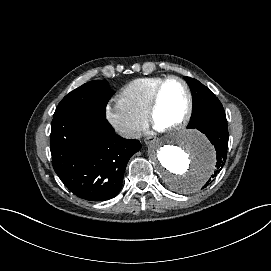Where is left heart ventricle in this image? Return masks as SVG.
Masks as SVG:
<instances>
[{
	"instance_id": "b2bd125f",
	"label": "left heart ventricle",
	"mask_w": 271,
	"mask_h": 271,
	"mask_svg": "<svg viewBox=\"0 0 271 271\" xmlns=\"http://www.w3.org/2000/svg\"><path fill=\"white\" fill-rule=\"evenodd\" d=\"M188 95L183 84L177 80L168 82L161 94V103L156 115V125L166 128L180 119L187 110Z\"/></svg>"
}]
</instances>
